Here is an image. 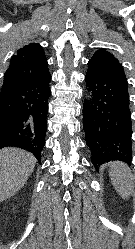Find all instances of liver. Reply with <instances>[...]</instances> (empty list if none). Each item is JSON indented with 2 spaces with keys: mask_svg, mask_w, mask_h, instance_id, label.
I'll use <instances>...</instances> for the list:
<instances>
[{
  "mask_svg": "<svg viewBox=\"0 0 135 249\" xmlns=\"http://www.w3.org/2000/svg\"><path fill=\"white\" fill-rule=\"evenodd\" d=\"M36 158L19 148L0 150V202L16 194L28 180Z\"/></svg>",
  "mask_w": 135,
  "mask_h": 249,
  "instance_id": "1",
  "label": "liver"
}]
</instances>
